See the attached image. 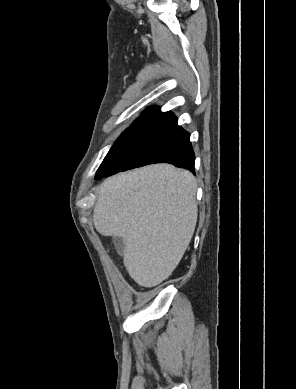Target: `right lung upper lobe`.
Masks as SVG:
<instances>
[{
  "label": "right lung upper lobe",
  "instance_id": "1",
  "mask_svg": "<svg viewBox=\"0 0 296 389\" xmlns=\"http://www.w3.org/2000/svg\"><path fill=\"white\" fill-rule=\"evenodd\" d=\"M141 117H160V118H167V119L176 120V117L171 112H160V110L156 107H151V108L146 109L142 113Z\"/></svg>",
  "mask_w": 296,
  "mask_h": 389
}]
</instances>
